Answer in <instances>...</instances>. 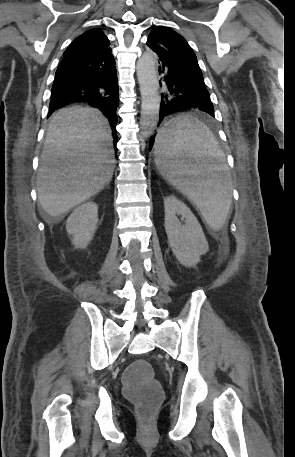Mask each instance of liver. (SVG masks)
Instances as JSON below:
<instances>
[{
  "instance_id": "1",
  "label": "liver",
  "mask_w": 295,
  "mask_h": 457,
  "mask_svg": "<svg viewBox=\"0 0 295 457\" xmlns=\"http://www.w3.org/2000/svg\"><path fill=\"white\" fill-rule=\"evenodd\" d=\"M111 141L108 121L97 109L75 105L53 115L37 173L38 200L48 215H63L111 181Z\"/></svg>"
}]
</instances>
